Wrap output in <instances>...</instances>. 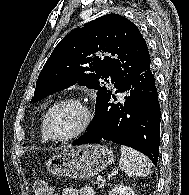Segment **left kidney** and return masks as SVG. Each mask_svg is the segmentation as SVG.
Instances as JSON below:
<instances>
[{
  "mask_svg": "<svg viewBox=\"0 0 189 195\" xmlns=\"http://www.w3.org/2000/svg\"><path fill=\"white\" fill-rule=\"evenodd\" d=\"M109 195H135V192L133 188L121 185L114 187Z\"/></svg>",
  "mask_w": 189,
  "mask_h": 195,
  "instance_id": "1",
  "label": "left kidney"
}]
</instances>
